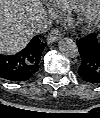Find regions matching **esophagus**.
I'll return each instance as SVG.
<instances>
[{
  "mask_svg": "<svg viewBox=\"0 0 100 118\" xmlns=\"http://www.w3.org/2000/svg\"><path fill=\"white\" fill-rule=\"evenodd\" d=\"M63 36V33L60 29L55 28L52 29L49 34L47 35V43H53L61 39Z\"/></svg>",
  "mask_w": 100,
  "mask_h": 118,
  "instance_id": "34e87169",
  "label": "esophagus"
}]
</instances>
